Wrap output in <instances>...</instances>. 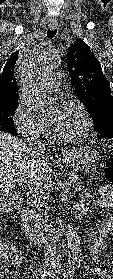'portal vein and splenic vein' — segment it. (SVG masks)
<instances>
[{
	"instance_id": "portal-vein-and-splenic-vein-1",
	"label": "portal vein and splenic vein",
	"mask_w": 113,
	"mask_h": 279,
	"mask_svg": "<svg viewBox=\"0 0 113 279\" xmlns=\"http://www.w3.org/2000/svg\"><path fill=\"white\" fill-rule=\"evenodd\" d=\"M18 182L19 184H24L26 181H25V178L23 176H19L18 177ZM29 190L33 193L34 196H39L40 194V191L36 188V186L34 185H29L28 186Z\"/></svg>"
}]
</instances>
